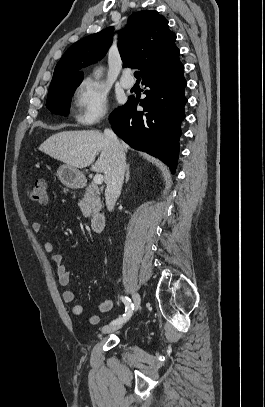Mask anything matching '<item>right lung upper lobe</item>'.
<instances>
[{
  "label": "right lung upper lobe",
  "instance_id": "right-lung-upper-lobe-1",
  "mask_svg": "<svg viewBox=\"0 0 265 407\" xmlns=\"http://www.w3.org/2000/svg\"><path fill=\"white\" fill-rule=\"evenodd\" d=\"M113 27L89 35L71 45L57 63L51 85L82 82L79 70L102 58L112 43ZM176 35L157 11H139L119 33L118 48L124 66L138 68L142 77L179 52ZM50 85V86H51Z\"/></svg>",
  "mask_w": 265,
  "mask_h": 407
}]
</instances>
